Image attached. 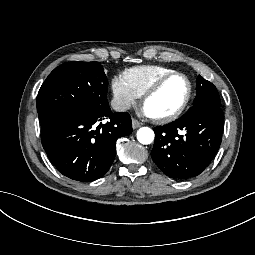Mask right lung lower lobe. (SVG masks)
Instances as JSON below:
<instances>
[{
    "label": "right lung lower lobe",
    "mask_w": 255,
    "mask_h": 255,
    "mask_svg": "<svg viewBox=\"0 0 255 255\" xmlns=\"http://www.w3.org/2000/svg\"><path fill=\"white\" fill-rule=\"evenodd\" d=\"M106 118L109 121L103 124ZM131 132L130 115L110 109L99 116L72 108L41 122L42 145L49 160L60 173L81 182L102 177L115 159L117 139Z\"/></svg>",
    "instance_id": "right-lung-lower-lobe-1"
}]
</instances>
